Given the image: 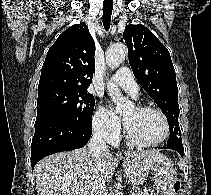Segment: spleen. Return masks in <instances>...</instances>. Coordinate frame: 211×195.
I'll return each mask as SVG.
<instances>
[{
	"instance_id": "3e777b00",
	"label": "spleen",
	"mask_w": 211,
	"mask_h": 195,
	"mask_svg": "<svg viewBox=\"0 0 211 195\" xmlns=\"http://www.w3.org/2000/svg\"><path fill=\"white\" fill-rule=\"evenodd\" d=\"M179 167H180V168H182V167H183V165H182L181 163H179Z\"/></svg>"
}]
</instances>
